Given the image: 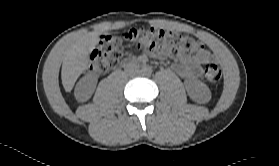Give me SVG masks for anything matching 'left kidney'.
Here are the masks:
<instances>
[{
    "instance_id": "1",
    "label": "left kidney",
    "mask_w": 279,
    "mask_h": 166,
    "mask_svg": "<svg viewBox=\"0 0 279 166\" xmlns=\"http://www.w3.org/2000/svg\"><path fill=\"white\" fill-rule=\"evenodd\" d=\"M185 87L189 97L195 102H206L211 97L208 86L200 80H187Z\"/></svg>"
}]
</instances>
